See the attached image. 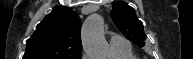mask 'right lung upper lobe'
<instances>
[{
	"label": "right lung upper lobe",
	"instance_id": "1",
	"mask_svg": "<svg viewBox=\"0 0 193 59\" xmlns=\"http://www.w3.org/2000/svg\"><path fill=\"white\" fill-rule=\"evenodd\" d=\"M80 29L76 12L56 6L27 40L23 59H81Z\"/></svg>",
	"mask_w": 193,
	"mask_h": 59
}]
</instances>
